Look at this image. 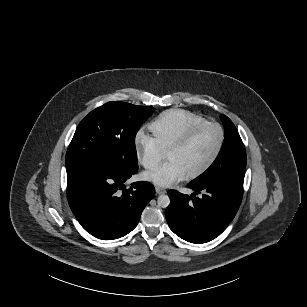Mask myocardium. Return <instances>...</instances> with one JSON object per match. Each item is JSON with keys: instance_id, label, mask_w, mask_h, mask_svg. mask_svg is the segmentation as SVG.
<instances>
[{"instance_id": "1", "label": "myocardium", "mask_w": 307, "mask_h": 307, "mask_svg": "<svg viewBox=\"0 0 307 307\" xmlns=\"http://www.w3.org/2000/svg\"><path fill=\"white\" fill-rule=\"evenodd\" d=\"M209 127H218L220 129V131H221L220 144H219L216 152L214 153V155L211 157V159L203 167H201L199 170H197L193 173L186 175L187 180L196 179V178L206 174L216 164V162L220 158L221 154L223 153V150H224L226 142H227V132H226L225 127L222 124L217 123V122H210V123L200 125V126L194 128L193 130L189 131L182 138H180V139L174 141L173 143H171L167 147V149L165 150L164 158H166V155L168 153L178 151V150H181L184 147H186L192 140H194L199 135L200 132H202L204 129L209 128Z\"/></svg>"}]
</instances>
